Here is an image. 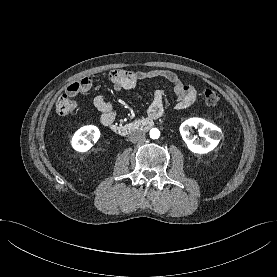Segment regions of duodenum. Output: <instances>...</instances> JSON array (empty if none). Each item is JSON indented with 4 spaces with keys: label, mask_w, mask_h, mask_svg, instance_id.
Here are the masks:
<instances>
[{
    "label": "duodenum",
    "mask_w": 277,
    "mask_h": 277,
    "mask_svg": "<svg viewBox=\"0 0 277 277\" xmlns=\"http://www.w3.org/2000/svg\"><path fill=\"white\" fill-rule=\"evenodd\" d=\"M154 126V119L151 117L142 118L127 124L111 123L109 127L117 134L126 136L138 131H148Z\"/></svg>",
    "instance_id": "obj_1"
}]
</instances>
